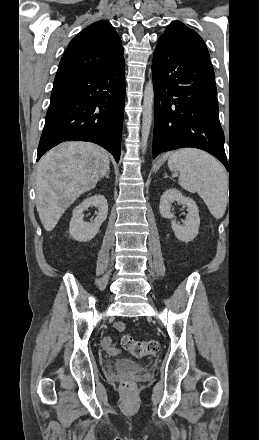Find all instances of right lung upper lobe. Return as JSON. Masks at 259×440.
Wrapping results in <instances>:
<instances>
[{"instance_id": "1", "label": "right lung upper lobe", "mask_w": 259, "mask_h": 440, "mask_svg": "<svg viewBox=\"0 0 259 440\" xmlns=\"http://www.w3.org/2000/svg\"><path fill=\"white\" fill-rule=\"evenodd\" d=\"M123 59L121 39L114 27L109 22L98 21L71 40L55 79L89 74Z\"/></svg>"}]
</instances>
